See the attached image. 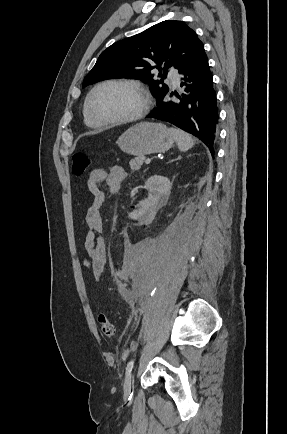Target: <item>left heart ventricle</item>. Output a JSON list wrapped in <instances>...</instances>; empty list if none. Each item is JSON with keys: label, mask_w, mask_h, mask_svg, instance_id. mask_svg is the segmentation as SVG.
<instances>
[{"label": "left heart ventricle", "mask_w": 287, "mask_h": 434, "mask_svg": "<svg viewBox=\"0 0 287 434\" xmlns=\"http://www.w3.org/2000/svg\"><path fill=\"white\" fill-rule=\"evenodd\" d=\"M143 105L141 95L122 85H106L98 89L91 100V109L99 119H121L139 111Z\"/></svg>", "instance_id": "obj_1"}]
</instances>
